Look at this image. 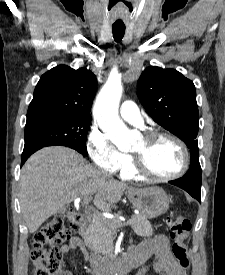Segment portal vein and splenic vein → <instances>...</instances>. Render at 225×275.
Here are the masks:
<instances>
[{
  "mask_svg": "<svg viewBox=\"0 0 225 275\" xmlns=\"http://www.w3.org/2000/svg\"><path fill=\"white\" fill-rule=\"evenodd\" d=\"M85 200L87 201V203H88V198H85ZM76 201H80V199L79 198H77L76 199ZM134 222V219H130V220H128L127 221V223L126 224H132Z\"/></svg>",
  "mask_w": 225,
  "mask_h": 275,
  "instance_id": "1",
  "label": "portal vein and splenic vein"
}]
</instances>
